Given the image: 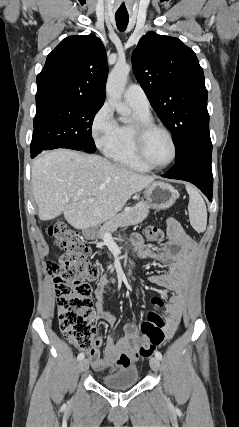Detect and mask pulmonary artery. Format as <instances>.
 I'll return each mask as SVG.
<instances>
[{
    "label": "pulmonary artery",
    "instance_id": "obj_1",
    "mask_svg": "<svg viewBox=\"0 0 239 427\" xmlns=\"http://www.w3.org/2000/svg\"><path fill=\"white\" fill-rule=\"evenodd\" d=\"M124 100L132 107L142 111H149V100L143 89L137 84H131L124 90Z\"/></svg>",
    "mask_w": 239,
    "mask_h": 427
}]
</instances>
